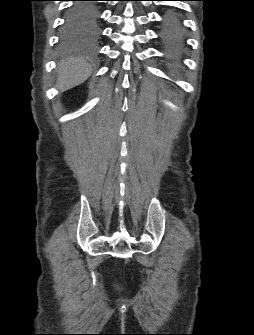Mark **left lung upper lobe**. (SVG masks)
<instances>
[{
  "label": "left lung upper lobe",
  "mask_w": 254,
  "mask_h": 335,
  "mask_svg": "<svg viewBox=\"0 0 254 335\" xmlns=\"http://www.w3.org/2000/svg\"><path fill=\"white\" fill-rule=\"evenodd\" d=\"M166 26L169 33L176 32L180 27V18L175 13H169L166 18Z\"/></svg>",
  "instance_id": "obj_1"
}]
</instances>
